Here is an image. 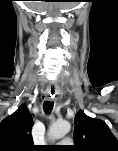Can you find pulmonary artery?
<instances>
[{
    "instance_id": "obj_1",
    "label": "pulmonary artery",
    "mask_w": 118,
    "mask_h": 151,
    "mask_svg": "<svg viewBox=\"0 0 118 151\" xmlns=\"http://www.w3.org/2000/svg\"><path fill=\"white\" fill-rule=\"evenodd\" d=\"M71 143H72V140L69 138L62 140V142H61V144H71Z\"/></svg>"
}]
</instances>
